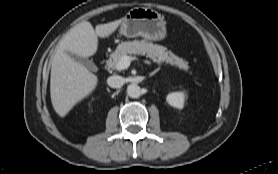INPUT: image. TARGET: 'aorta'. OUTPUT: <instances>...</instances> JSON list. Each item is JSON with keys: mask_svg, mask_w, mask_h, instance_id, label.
<instances>
[{"mask_svg": "<svg viewBox=\"0 0 278 174\" xmlns=\"http://www.w3.org/2000/svg\"><path fill=\"white\" fill-rule=\"evenodd\" d=\"M127 94L131 98H139L142 94L140 86H138L137 84H130L127 87Z\"/></svg>", "mask_w": 278, "mask_h": 174, "instance_id": "1", "label": "aorta"}]
</instances>
